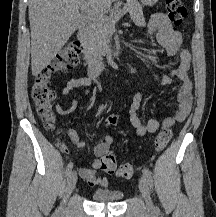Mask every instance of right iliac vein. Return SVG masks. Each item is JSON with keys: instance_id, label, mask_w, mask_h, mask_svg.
Returning <instances> with one entry per match:
<instances>
[{"instance_id": "obj_1", "label": "right iliac vein", "mask_w": 216, "mask_h": 217, "mask_svg": "<svg viewBox=\"0 0 216 217\" xmlns=\"http://www.w3.org/2000/svg\"><path fill=\"white\" fill-rule=\"evenodd\" d=\"M77 182V173L75 171H72L67 178V184H66V195H65V199L60 207V211L64 212L65 210V206H66V201L67 198L69 197V195L72 193V191L75 188Z\"/></svg>"}]
</instances>
